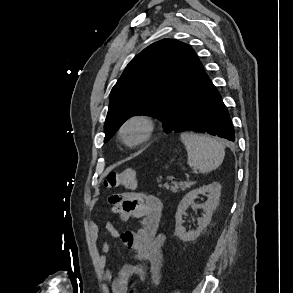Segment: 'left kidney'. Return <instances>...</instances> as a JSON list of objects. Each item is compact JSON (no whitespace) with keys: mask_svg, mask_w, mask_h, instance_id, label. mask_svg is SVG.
Masks as SVG:
<instances>
[{"mask_svg":"<svg viewBox=\"0 0 293 293\" xmlns=\"http://www.w3.org/2000/svg\"><path fill=\"white\" fill-rule=\"evenodd\" d=\"M201 194H207L208 200L203 204H195L194 200ZM220 195L221 184L218 182H213L209 185L192 190L183 197L178 205V209L175 215V233L180 240L185 242L195 240L209 225L213 212L218 206ZM190 205L198 209H203L205 214L203 218L197 219L198 223L195 230L186 231V229L183 227V215Z\"/></svg>","mask_w":293,"mask_h":293,"instance_id":"5707ae66","label":"left kidney"}]
</instances>
